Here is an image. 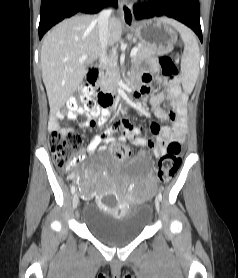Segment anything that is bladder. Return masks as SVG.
Instances as JSON below:
<instances>
[{
  "label": "bladder",
  "mask_w": 238,
  "mask_h": 278,
  "mask_svg": "<svg viewBox=\"0 0 238 278\" xmlns=\"http://www.w3.org/2000/svg\"><path fill=\"white\" fill-rule=\"evenodd\" d=\"M151 220V210L146 204H137L123 216L112 215L96 204H85L82 223L98 241L117 246L141 235Z\"/></svg>",
  "instance_id": "obj_1"
}]
</instances>
